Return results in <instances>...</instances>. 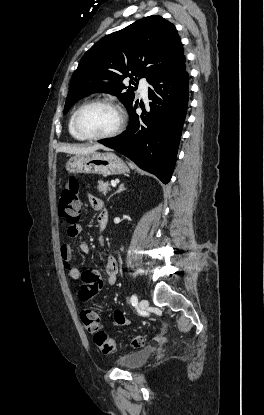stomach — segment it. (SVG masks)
I'll return each mask as SVG.
<instances>
[{
  "mask_svg": "<svg viewBox=\"0 0 264 415\" xmlns=\"http://www.w3.org/2000/svg\"><path fill=\"white\" fill-rule=\"evenodd\" d=\"M69 173L100 174L104 177L128 172L126 164L112 152H92L72 156L66 163Z\"/></svg>",
  "mask_w": 264,
  "mask_h": 415,
  "instance_id": "1",
  "label": "stomach"
}]
</instances>
